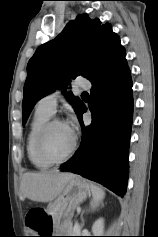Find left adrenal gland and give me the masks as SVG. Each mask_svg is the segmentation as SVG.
<instances>
[{
	"instance_id": "obj_1",
	"label": "left adrenal gland",
	"mask_w": 158,
	"mask_h": 237,
	"mask_svg": "<svg viewBox=\"0 0 158 237\" xmlns=\"http://www.w3.org/2000/svg\"><path fill=\"white\" fill-rule=\"evenodd\" d=\"M84 213H85V210H83L82 213H81V220H82V222H84V219H83Z\"/></svg>"
}]
</instances>
